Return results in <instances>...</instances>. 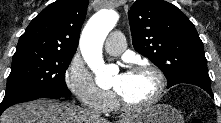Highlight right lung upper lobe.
Returning a JSON list of instances; mask_svg holds the SVG:
<instances>
[{"label": "right lung upper lobe", "instance_id": "1", "mask_svg": "<svg viewBox=\"0 0 221 123\" xmlns=\"http://www.w3.org/2000/svg\"><path fill=\"white\" fill-rule=\"evenodd\" d=\"M88 0H58L47 6L20 37L17 50L75 53Z\"/></svg>", "mask_w": 221, "mask_h": 123}]
</instances>
